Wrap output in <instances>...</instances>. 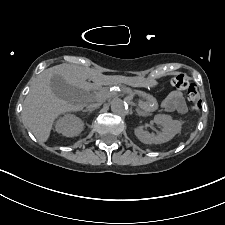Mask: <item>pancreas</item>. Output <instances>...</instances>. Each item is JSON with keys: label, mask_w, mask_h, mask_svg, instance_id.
<instances>
[{"label": "pancreas", "mask_w": 225, "mask_h": 225, "mask_svg": "<svg viewBox=\"0 0 225 225\" xmlns=\"http://www.w3.org/2000/svg\"><path fill=\"white\" fill-rule=\"evenodd\" d=\"M128 93H135V94H138L139 91H131L130 89L127 90ZM100 93H106V90L105 89H101L100 90ZM141 102V109H142V112L145 114V115H151L152 112L156 111L158 109V103L156 101V99L151 96V95H148L147 96V100L146 101H140Z\"/></svg>", "instance_id": "1"}]
</instances>
